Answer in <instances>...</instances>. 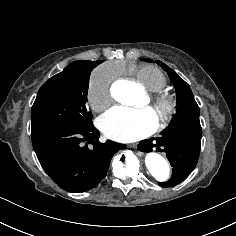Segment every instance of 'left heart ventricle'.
Wrapping results in <instances>:
<instances>
[{"instance_id":"obj_1","label":"left heart ventricle","mask_w":236,"mask_h":236,"mask_svg":"<svg viewBox=\"0 0 236 236\" xmlns=\"http://www.w3.org/2000/svg\"><path fill=\"white\" fill-rule=\"evenodd\" d=\"M139 107L149 108L148 103H145V104H143V105H141V106H139Z\"/></svg>"}]
</instances>
